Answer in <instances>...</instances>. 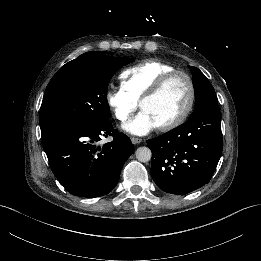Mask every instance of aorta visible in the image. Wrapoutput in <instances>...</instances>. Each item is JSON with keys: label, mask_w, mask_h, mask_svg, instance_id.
Masks as SVG:
<instances>
[{"label": "aorta", "mask_w": 261, "mask_h": 261, "mask_svg": "<svg viewBox=\"0 0 261 261\" xmlns=\"http://www.w3.org/2000/svg\"><path fill=\"white\" fill-rule=\"evenodd\" d=\"M135 155H136V159L139 162L145 163V162L150 161L151 156H152V152L148 147H139L136 150Z\"/></svg>", "instance_id": "obj_1"}]
</instances>
